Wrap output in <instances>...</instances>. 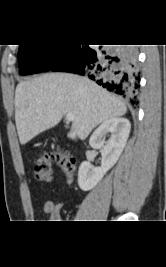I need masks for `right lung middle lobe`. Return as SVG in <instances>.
I'll use <instances>...</instances> for the list:
<instances>
[{
    "mask_svg": "<svg viewBox=\"0 0 166 267\" xmlns=\"http://www.w3.org/2000/svg\"><path fill=\"white\" fill-rule=\"evenodd\" d=\"M19 45L18 60L21 75L49 71L60 61L70 45Z\"/></svg>",
    "mask_w": 166,
    "mask_h": 267,
    "instance_id": "right-lung-middle-lobe-1",
    "label": "right lung middle lobe"
}]
</instances>
